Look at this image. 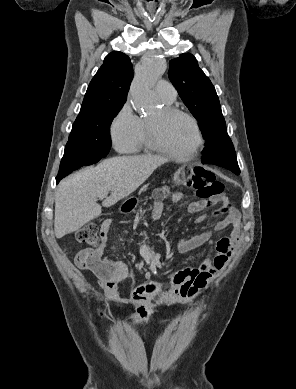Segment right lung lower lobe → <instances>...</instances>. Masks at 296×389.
<instances>
[{"label":"right lung lower lobe","instance_id":"obj_1","mask_svg":"<svg viewBox=\"0 0 296 389\" xmlns=\"http://www.w3.org/2000/svg\"><path fill=\"white\" fill-rule=\"evenodd\" d=\"M72 171H59V173H58V175H57V177H56V183H59V181L63 178V177H65V176H67L69 173H71Z\"/></svg>","mask_w":296,"mask_h":389}]
</instances>
